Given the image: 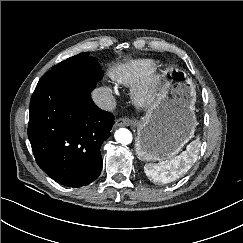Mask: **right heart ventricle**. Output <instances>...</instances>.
Masks as SVG:
<instances>
[{
    "label": "right heart ventricle",
    "instance_id": "right-heart-ventricle-1",
    "mask_svg": "<svg viewBox=\"0 0 243 243\" xmlns=\"http://www.w3.org/2000/svg\"><path fill=\"white\" fill-rule=\"evenodd\" d=\"M155 68L151 59H142L121 64L113 69L111 76L120 85H132L149 76Z\"/></svg>",
    "mask_w": 243,
    "mask_h": 243
}]
</instances>
